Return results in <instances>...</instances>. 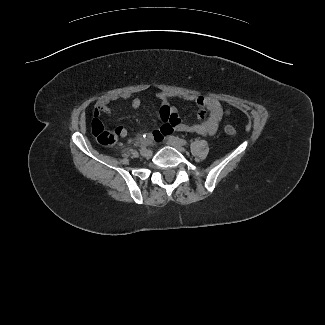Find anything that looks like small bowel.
Listing matches in <instances>:
<instances>
[{
  "mask_svg": "<svg viewBox=\"0 0 325 325\" xmlns=\"http://www.w3.org/2000/svg\"><path fill=\"white\" fill-rule=\"evenodd\" d=\"M161 101L159 109V117L164 122L162 126L153 131V136L161 139L170 134L173 130L179 132L197 133L201 135H213L216 133L222 119L228 114L219 100L209 97L196 95L186 92H166L161 91L157 94ZM170 98H178L184 101L195 103L200 111L198 113L199 123L186 124L181 121L178 110L169 104ZM130 99V104L137 109L141 106V100L137 97H132L129 93H107L102 95L96 102L94 115L110 114V103L119 100ZM115 130L119 132V136H125L127 131L124 127L119 126Z\"/></svg>",
  "mask_w": 325,
  "mask_h": 325,
  "instance_id": "obj_1",
  "label": "small bowel"
}]
</instances>
